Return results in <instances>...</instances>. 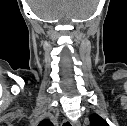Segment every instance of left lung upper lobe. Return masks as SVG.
<instances>
[{"mask_svg":"<svg viewBox=\"0 0 127 126\" xmlns=\"http://www.w3.org/2000/svg\"><path fill=\"white\" fill-rule=\"evenodd\" d=\"M89 119L91 126H109L108 123L98 114H92Z\"/></svg>","mask_w":127,"mask_h":126,"instance_id":"left-lung-upper-lobe-1","label":"left lung upper lobe"}]
</instances>
